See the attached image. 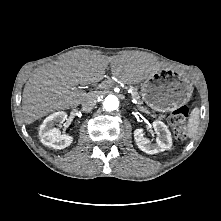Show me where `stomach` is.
<instances>
[{"label": "stomach", "mask_w": 221, "mask_h": 221, "mask_svg": "<svg viewBox=\"0 0 221 221\" xmlns=\"http://www.w3.org/2000/svg\"><path fill=\"white\" fill-rule=\"evenodd\" d=\"M193 87L182 73L169 70L155 72L141 84L143 101L155 111L170 112L187 103Z\"/></svg>", "instance_id": "stomach-1"}]
</instances>
